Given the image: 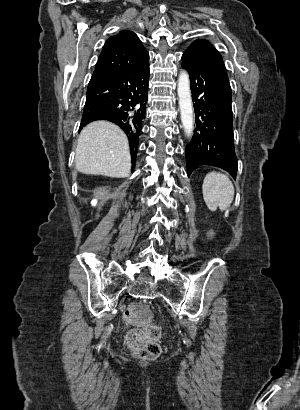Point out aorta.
Segmentation results:
<instances>
[{
  "mask_svg": "<svg viewBox=\"0 0 300 410\" xmlns=\"http://www.w3.org/2000/svg\"><path fill=\"white\" fill-rule=\"evenodd\" d=\"M177 93L179 97V109L181 122L185 134L190 137L194 129V111L191 97L190 80L186 71H181L178 77Z\"/></svg>",
  "mask_w": 300,
  "mask_h": 410,
  "instance_id": "aorta-1",
  "label": "aorta"
}]
</instances>
